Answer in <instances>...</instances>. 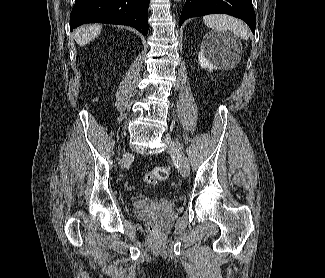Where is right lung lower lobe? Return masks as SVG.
Segmentation results:
<instances>
[{
	"label": "right lung lower lobe",
	"instance_id": "98d812e1",
	"mask_svg": "<svg viewBox=\"0 0 325 278\" xmlns=\"http://www.w3.org/2000/svg\"><path fill=\"white\" fill-rule=\"evenodd\" d=\"M150 0H76L70 14V29L86 23L128 25L148 34Z\"/></svg>",
	"mask_w": 325,
	"mask_h": 278
}]
</instances>
